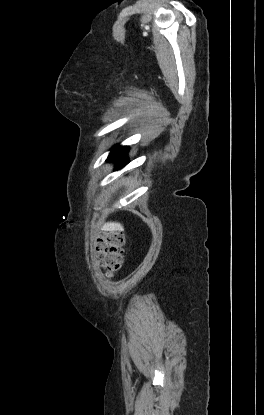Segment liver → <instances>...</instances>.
Here are the masks:
<instances>
[{
    "label": "liver",
    "mask_w": 264,
    "mask_h": 415,
    "mask_svg": "<svg viewBox=\"0 0 264 415\" xmlns=\"http://www.w3.org/2000/svg\"><path fill=\"white\" fill-rule=\"evenodd\" d=\"M103 230L114 232V231H123V226L118 222H108L103 225Z\"/></svg>",
    "instance_id": "6515ba94"
}]
</instances>
